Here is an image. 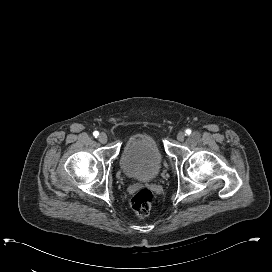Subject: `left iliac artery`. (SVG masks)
<instances>
[{"label": "left iliac artery", "mask_w": 272, "mask_h": 272, "mask_svg": "<svg viewBox=\"0 0 272 272\" xmlns=\"http://www.w3.org/2000/svg\"><path fill=\"white\" fill-rule=\"evenodd\" d=\"M185 132H186L187 135L191 134V130L190 129H187Z\"/></svg>", "instance_id": "1"}]
</instances>
